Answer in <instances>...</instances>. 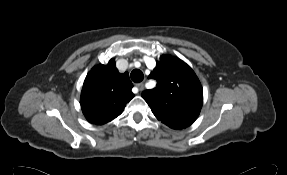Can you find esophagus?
<instances>
[{
  "instance_id": "obj_1",
  "label": "esophagus",
  "mask_w": 287,
  "mask_h": 175,
  "mask_svg": "<svg viewBox=\"0 0 287 175\" xmlns=\"http://www.w3.org/2000/svg\"><path fill=\"white\" fill-rule=\"evenodd\" d=\"M136 87H137L140 91H142V90L144 89V83H143V82L137 83V84H136Z\"/></svg>"
}]
</instances>
